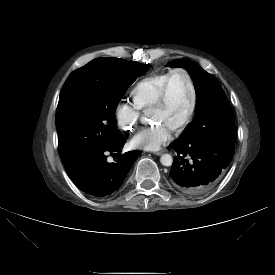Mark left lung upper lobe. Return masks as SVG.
I'll use <instances>...</instances> for the list:
<instances>
[{
    "mask_svg": "<svg viewBox=\"0 0 275 275\" xmlns=\"http://www.w3.org/2000/svg\"><path fill=\"white\" fill-rule=\"evenodd\" d=\"M168 66L181 67L189 72L197 97L195 120L188 124L177 140L228 138L235 142L234 113L219 81L188 59L169 62Z\"/></svg>",
    "mask_w": 275,
    "mask_h": 275,
    "instance_id": "1",
    "label": "left lung upper lobe"
}]
</instances>
